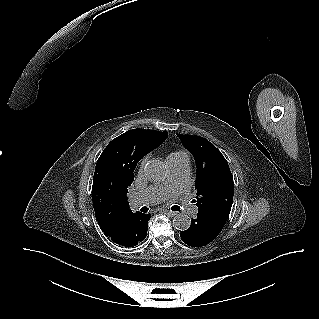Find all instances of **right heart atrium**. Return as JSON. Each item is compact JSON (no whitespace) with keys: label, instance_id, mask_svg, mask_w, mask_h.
Returning a JSON list of instances; mask_svg holds the SVG:
<instances>
[{"label":"right heart atrium","instance_id":"d8ad5b80","mask_svg":"<svg viewBox=\"0 0 319 319\" xmlns=\"http://www.w3.org/2000/svg\"><path fill=\"white\" fill-rule=\"evenodd\" d=\"M147 161H148V158H147V157H144V158L140 161V163H139V172H140V173L143 172Z\"/></svg>","mask_w":319,"mask_h":319}]
</instances>
